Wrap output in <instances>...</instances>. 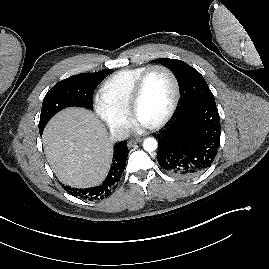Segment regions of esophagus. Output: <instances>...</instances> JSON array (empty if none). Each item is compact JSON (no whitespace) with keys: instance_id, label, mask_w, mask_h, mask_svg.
<instances>
[{"instance_id":"34e87169","label":"esophagus","mask_w":269,"mask_h":269,"mask_svg":"<svg viewBox=\"0 0 269 269\" xmlns=\"http://www.w3.org/2000/svg\"><path fill=\"white\" fill-rule=\"evenodd\" d=\"M142 139H132L128 141V148H132L134 145H136L137 143L141 142Z\"/></svg>"}]
</instances>
